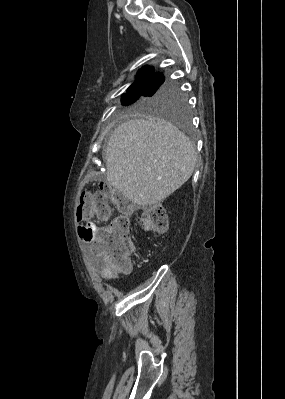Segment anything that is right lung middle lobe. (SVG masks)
I'll return each mask as SVG.
<instances>
[{"label": "right lung middle lobe", "instance_id": "dd1d6c3e", "mask_svg": "<svg viewBox=\"0 0 285 399\" xmlns=\"http://www.w3.org/2000/svg\"><path fill=\"white\" fill-rule=\"evenodd\" d=\"M122 104L132 105V109L136 111L161 115L183 128L188 119L186 97L173 83H164L160 87L142 92L123 94Z\"/></svg>", "mask_w": 285, "mask_h": 399}]
</instances>
